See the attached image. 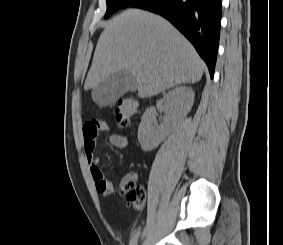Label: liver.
<instances>
[{
  "mask_svg": "<svg viewBox=\"0 0 283 245\" xmlns=\"http://www.w3.org/2000/svg\"><path fill=\"white\" fill-rule=\"evenodd\" d=\"M120 70L131 72L139 97L146 98L183 83L198 82L204 62L168 21L148 11L128 9L106 23L84 90L95 88Z\"/></svg>",
  "mask_w": 283,
  "mask_h": 245,
  "instance_id": "liver-1",
  "label": "liver"
}]
</instances>
